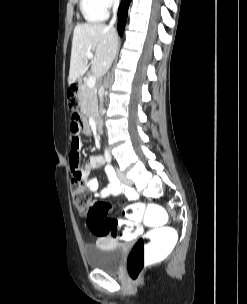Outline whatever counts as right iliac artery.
<instances>
[{
  "label": "right iliac artery",
  "instance_id": "1",
  "mask_svg": "<svg viewBox=\"0 0 247 304\" xmlns=\"http://www.w3.org/2000/svg\"><path fill=\"white\" fill-rule=\"evenodd\" d=\"M106 161H107V163H110V162H111V157H110V156H107V157H106Z\"/></svg>",
  "mask_w": 247,
  "mask_h": 304
}]
</instances>
